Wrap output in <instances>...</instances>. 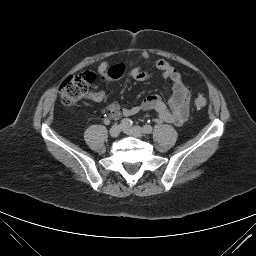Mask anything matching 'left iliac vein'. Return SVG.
Segmentation results:
<instances>
[{
  "label": "left iliac vein",
  "mask_w": 256,
  "mask_h": 256,
  "mask_svg": "<svg viewBox=\"0 0 256 256\" xmlns=\"http://www.w3.org/2000/svg\"><path fill=\"white\" fill-rule=\"evenodd\" d=\"M124 132L130 136L141 138L144 136V131L141 127L139 126H133L129 128H125Z\"/></svg>",
  "instance_id": "left-iliac-vein-1"
}]
</instances>
